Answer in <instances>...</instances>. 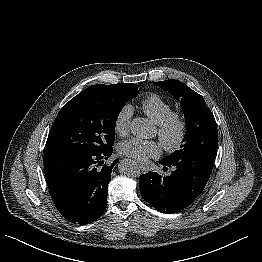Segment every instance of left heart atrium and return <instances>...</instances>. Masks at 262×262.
Listing matches in <instances>:
<instances>
[{"mask_svg":"<svg viewBox=\"0 0 262 262\" xmlns=\"http://www.w3.org/2000/svg\"><path fill=\"white\" fill-rule=\"evenodd\" d=\"M119 152L139 161H147L150 158L159 157L161 145L152 140L132 138L119 144Z\"/></svg>","mask_w":262,"mask_h":262,"instance_id":"1","label":"left heart atrium"}]
</instances>
